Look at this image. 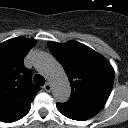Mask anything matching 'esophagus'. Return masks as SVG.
<instances>
[{"label": "esophagus", "instance_id": "obj_1", "mask_svg": "<svg viewBox=\"0 0 128 128\" xmlns=\"http://www.w3.org/2000/svg\"><path fill=\"white\" fill-rule=\"evenodd\" d=\"M44 90L46 92H50L51 91V84L50 83H46L44 86H43Z\"/></svg>", "mask_w": 128, "mask_h": 128}]
</instances>
